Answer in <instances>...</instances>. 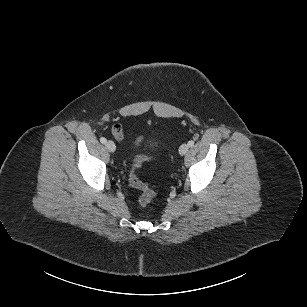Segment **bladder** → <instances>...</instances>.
I'll use <instances>...</instances> for the list:
<instances>
[{
  "label": "bladder",
  "instance_id": "obj_1",
  "mask_svg": "<svg viewBox=\"0 0 307 307\" xmlns=\"http://www.w3.org/2000/svg\"><path fill=\"white\" fill-rule=\"evenodd\" d=\"M145 147H147V148H155L156 147V143L152 139H147L145 141Z\"/></svg>",
  "mask_w": 307,
  "mask_h": 307
}]
</instances>
